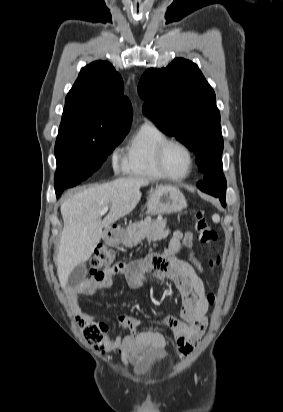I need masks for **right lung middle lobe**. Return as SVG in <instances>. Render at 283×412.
Instances as JSON below:
<instances>
[{
  "label": "right lung middle lobe",
  "instance_id": "obj_1",
  "mask_svg": "<svg viewBox=\"0 0 283 412\" xmlns=\"http://www.w3.org/2000/svg\"><path fill=\"white\" fill-rule=\"evenodd\" d=\"M126 134H96L76 121L62 120L55 144V181L87 179L99 170Z\"/></svg>",
  "mask_w": 283,
  "mask_h": 412
}]
</instances>
